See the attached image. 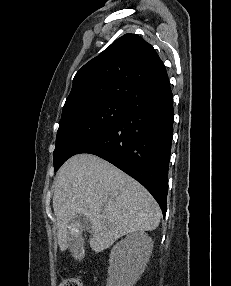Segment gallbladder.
<instances>
[{
  "label": "gallbladder",
  "mask_w": 231,
  "mask_h": 286,
  "mask_svg": "<svg viewBox=\"0 0 231 286\" xmlns=\"http://www.w3.org/2000/svg\"><path fill=\"white\" fill-rule=\"evenodd\" d=\"M67 227L69 229V235H72L69 241V243H71L69 244L71 245L69 249L73 252L71 255L74 259H83L85 257L83 256V250L85 249L82 247L84 243L81 241L83 238L81 232L84 230H92L91 223L89 219L85 217V214L74 213Z\"/></svg>",
  "instance_id": "bac80fb5"
}]
</instances>
